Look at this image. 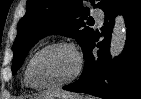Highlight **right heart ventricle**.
<instances>
[{"mask_svg":"<svg viewBox=\"0 0 141 99\" xmlns=\"http://www.w3.org/2000/svg\"><path fill=\"white\" fill-rule=\"evenodd\" d=\"M24 82H25L26 86L31 87V86L28 84L25 75H24ZM31 88H32V87H31Z\"/></svg>","mask_w":141,"mask_h":99,"instance_id":"e07e8e85","label":"right heart ventricle"}]
</instances>
